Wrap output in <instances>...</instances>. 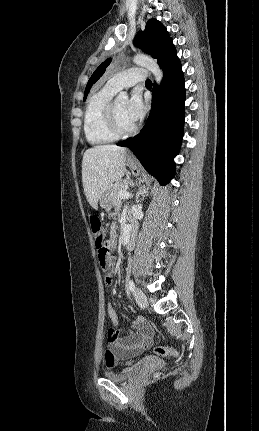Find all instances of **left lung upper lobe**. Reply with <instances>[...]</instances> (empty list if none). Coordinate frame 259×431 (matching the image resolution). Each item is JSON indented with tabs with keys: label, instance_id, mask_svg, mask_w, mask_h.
I'll return each instance as SVG.
<instances>
[{
	"label": "left lung upper lobe",
	"instance_id": "obj_1",
	"mask_svg": "<svg viewBox=\"0 0 259 431\" xmlns=\"http://www.w3.org/2000/svg\"><path fill=\"white\" fill-rule=\"evenodd\" d=\"M134 44L141 48L143 52L148 53L153 58L157 59L159 62L166 48L172 44V39L169 37V33L166 31L165 27L159 21L156 19H150L146 24L145 30L136 35ZM110 62L111 59H107L94 71L87 83L84 93V101L90 88L104 74Z\"/></svg>",
	"mask_w": 259,
	"mask_h": 431
}]
</instances>
